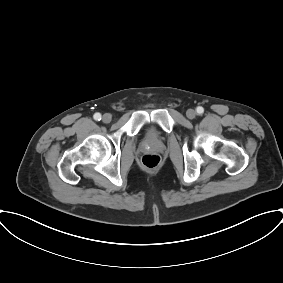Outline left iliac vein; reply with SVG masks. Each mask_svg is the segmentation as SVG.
Returning <instances> with one entry per match:
<instances>
[{
  "label": "left iliac vein",
  "instance_id": "4c4485c4",
  "mask_svg": "<svg viewBox=\"0 0 283 283\" xmlns=\"http://www.w3.org/2000/svg\"><path fill=\"white\" fill-rule=\"evenodd\" d=\"M186 115L189 119H194L196 117V112L193 109H188Z\"/></svg>",
  "mask_w": 283,
  "mask_h": 283
}]
</instances>
